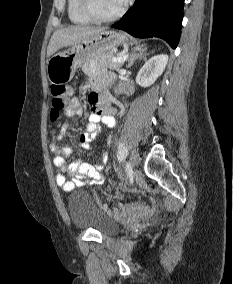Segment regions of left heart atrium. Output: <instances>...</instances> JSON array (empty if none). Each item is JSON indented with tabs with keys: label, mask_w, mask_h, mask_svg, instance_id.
Listing matches in <instances>:
<instances>
[{
	"label": "left heart atrium",
	"mask_w": 233,
	"mask_h": 284,
	"mask_svg": "<svg viewBox=\"0 0 233 284\" xmlns=\"http://www.w3.org/2000/svg\"><path fill=\"white\" fill-rule=\"evenodd\" d=\"M123 3L127 2V0H121Z\"/></svg>",
	"instance_id": "1"
}]
</instances>
